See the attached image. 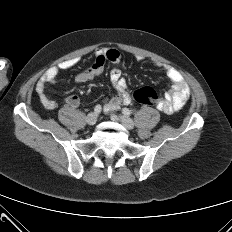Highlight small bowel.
Here are the masks:
<instances>
[{"instance_id": "c3829d8e", "label": "small bowel", "mask_w": 232, "mask_h": 232, "mask_svg": "<svg viewBox=\"0 0 232 232\" xmlns=\"http://www.w3.org/2000/svg\"><path fill=\"white\" fill-rule=\"evenodd\" d=\"M120 61L121 56L117 50L112 48H98L95 52L94 63L89 68L77 73L75 80L79 83L92 81L103 72L107 62L118 65ZM77 63V58L62 61L56 66L49 68L41 76L36 85V92L42 105L46 109L53 110L57 106V103L47 96L45 92L46 84L54 83L60 71L69 70ZM155 66L162 70L172 83L171 90L167 91L159 101L157 105L158 110L165 114H172L181 110L190 96L188 84L182 74L175 68L160 62H156ZM110 81L115 89V94L104 102V111L107 113L117 111L123 104L128 105L131 103L127 81L118 67H114L110 71ZM66 103L71 108L80 106L79 98L75 95L68 96Z\"/></svg>"}]
</instances>
